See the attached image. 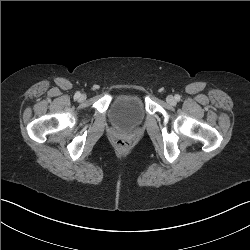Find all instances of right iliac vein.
<instances>
[{"label":"right iliac vein","mask_w":250,"mask_h":250,"mask_svg":"<svg viewBox=\"0 0 250 250\" xmlns=\"http://www.w3.org/2000/svg\"><path fill=\"white\" fill-rule=\"evenodd\" d=\"M84 99H85V95H81L80 100H84Z\"/></svg>","instance_id":"1"}]
</instances>
